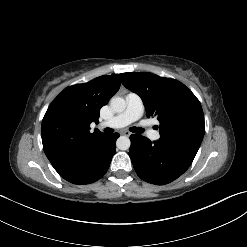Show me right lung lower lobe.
Instances as JSON below:
<instances>
[{
    "label": "right lung lower lobe",
    "mask_w": 247,
    "mask_h": 247,
    "mask_svg": "<svg viewBox=\"0 0 247 247\" xmlns=\"http://www.w3.org/2000/svg\"><path fill=\"white\" fill-rule=\"evenodd\" d=\"M119 134L101 135L81 152L51 162L65 180L74 184H89L102 178L115 154Z\"/></svg>",
    "instance_id": "obj_1"
}]
</instances>
